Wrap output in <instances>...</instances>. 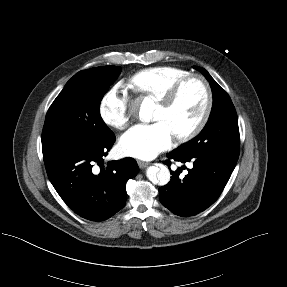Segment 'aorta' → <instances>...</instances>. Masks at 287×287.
I'll list each match as a JSON object with an SVG mask.
<instances>
[{"label":"aorta","mask_w":287,"mask_h":287,"mask_svg":"<svg viewBox=\"0 0 287 287\" xmlns=\"http://www.w3.org/2000/svg\"><path fill=\"white\" fill-rule=\"evenodd\" d=\"M152 113L151 101L144 100L140 107V117L149 121ZM147 178L154 184L164 186L170 181V171L165 165L150 166L146 171Z\"/></svg>","instance_id":"obj_1"}]
</instances>
